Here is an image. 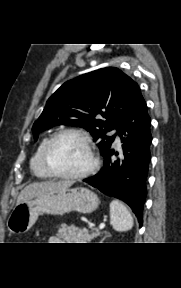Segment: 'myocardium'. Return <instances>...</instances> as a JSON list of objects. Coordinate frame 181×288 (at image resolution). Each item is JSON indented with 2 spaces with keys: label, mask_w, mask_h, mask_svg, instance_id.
Returning <instances> with one entry per match:
<instances>
[{
  "label": "myocardium",
  "mask_w": 181,
  "mask_h": 288,
  "mask_svg": "<svg viewBox=\"0 0 181 288\" xmlns=\"http://www.w3.org/2000/svg\"><path fill=\"white\" fill-rule=\"evenodd\" d=\"M65 135H75L78 136L85 144L88 149L90 163L81 172L74 174H66L57 170L51 162V150L58 139ZM43 163L46 169L54 176L61 179L77 180L82 179L90 175L98 166V158L96 156L93 142L91 137L87 132L77 128H66L56 132L47 142L43 151Z\"/></svg>",
  "instance_id": "f54148a6"
}]
</instances>
